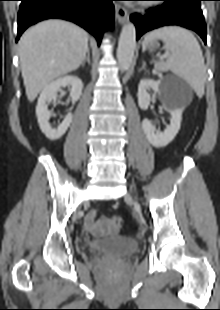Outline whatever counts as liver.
Here are the masks:
<instances>
[{
  "label": "liver",
  "instance_id": "obj_1",
  "mask_svg": "<svg viewBox=\"0 0 220 310\" xmlns=\"http://www.w3.org/2000/svg\"><path fill=\"white\" fill-rule=\"evenodd\" d=\"M88 50L87 32L70 22L48 20L28 29L19 41L28 100L33 102L54 79L76 70Z\"/></svg>",
  "mask_w": 220,
  "mask_h": 310
}]
</instances>
